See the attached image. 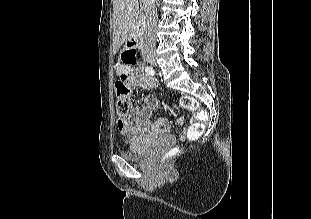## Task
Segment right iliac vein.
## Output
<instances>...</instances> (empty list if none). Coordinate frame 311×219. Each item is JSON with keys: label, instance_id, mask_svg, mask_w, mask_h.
I'll use <instances>...</instances> for the list:
<instances>
[{"label": "right iliac vein", "instance_id": "right-iliac-vein-1", "mask_svg": "<svg viewBox=\"0 0 311 219\" xmlns=\"http://www.w3.org/2000/svg\"><path fill=\"white\" fill-rule=\"evenodd\" d=\"M146 59H147V61H148L150 64H152V65H155V64H156V58H155V56L150 55V56H147Z\"/></svg>", "mask_w": 311, "mask_h": 219}]
</instances>
